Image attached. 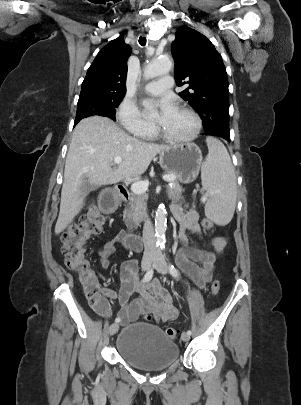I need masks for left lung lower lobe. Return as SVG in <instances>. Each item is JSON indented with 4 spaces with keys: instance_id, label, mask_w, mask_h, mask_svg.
Segmentation results:
<instances>
[{
    "instance_id": "0a47b994",
    "label": "left lung lower lobe",
    "mask_w": 301,
    "mask_h": 405,
    "mask_svg": "<svg viewBox=\"0 0 301 405\" xmlns=\"http://www.w3.org/2000/svg\"><path fill=\"white\" fill-rule=\"evenodd\" d=\"M207 135H212V136H219L224 138L225 140H227L228 142H230V134L226 133V132H214L211 134H207Z\"/></svg>"
}]
</instances>
